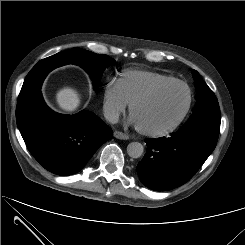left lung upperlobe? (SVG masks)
Instances as JSON below:
<instances>
[{
	"instance_id": "obj_1",
	"label": "left lung upper lobe",
	"mask_w": 245,
	"mask_h": 245,
	"mask_svg": "<svg viewBox=\"0 0 245 245\" xmlns=\"http://www.w3.org/2000/svg\"><path fill=\"white\" fill-rule=\"evenodd\" d=\"M196 88V105L188 121L180 128L206 127L220 131L219 104L213 91L202 80L196 70L192 71Z\"/></svg>"
}]
</instances>
